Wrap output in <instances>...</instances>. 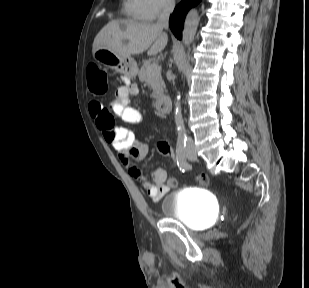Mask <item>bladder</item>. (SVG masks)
I'll list each match as a JSON object with an SVG mask.
<instances>
[{
	"mask_svg": "<svg viewBox=\"0 0 309 288\" xmlns=\"http://www.w3.org/2000/svg\"><path fill=\"white\" fill-rule=\"evenodd\" d=\"M163 218H175L192 229H204L216 218V202L205 189L184 187L162 197Z\"/></svg>",
	"mask_w": 309,
	"mask_h": 288,
	"instance_id": "31cf9c89",
	"label": "bladder"
}]
</instances>
